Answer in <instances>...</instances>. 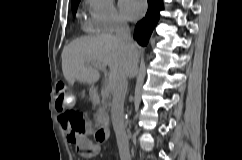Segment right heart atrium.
Wrapping results in <instances>:
<instances>
[{"label": "right heart atrium", "instance_id": "d8ad5b80", "mask_svg": "<svg viewBox=\"0 0 242 160\" xmlns=\"http://www.w3.org/2000/svg\"><path fill=\"white\" fill-rule=\"evenodd\" d=\"M89 24L96 33L110 34L127 25L113 0H87Z\"/></svg>", "mask_w": 242, "mask_h": 160}]
</instances>
